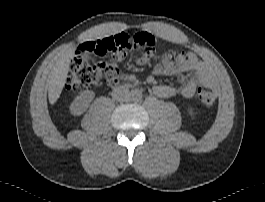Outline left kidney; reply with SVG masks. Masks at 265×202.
Returning <instances> with one entry per match:
<instances>
[{"mask_svg":"<svg viewBox=\"0 0 265 202\" xmlns=\"http://www.w3.org/2000/svg\"><path fill=\"white\" fill-rule=\"evenodd\" d=\"M188 112H189L190 115H192V116L194 115V112H193V109L192 108H189L188 109Z\"/></svg>","mask_w":265,"mask_h":202,"instance_id":"1","label":"left kidney"}]
</instances>
